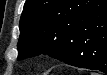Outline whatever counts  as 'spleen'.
<instances>
[{
	"instance_id": "spleen-1",
	"label": "spleen",
	"mask_w": 107,
	"mask_h": 75,
	"mask_svg": "<svg viewBox=\"0 0 107 75\" xmlns=\"http://www.w3.org/2000/svg\"><path fill=\"white\" fill-rule=\"evenodd\" d=\"M92 75H98V74H96V73H92Z\"/></svg>"
}]
</instances>
